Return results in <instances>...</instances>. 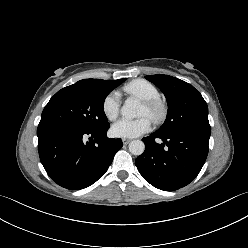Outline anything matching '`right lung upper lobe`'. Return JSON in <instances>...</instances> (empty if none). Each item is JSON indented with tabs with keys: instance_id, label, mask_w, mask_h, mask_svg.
Segmentation results:
<instances>
[{
	"instance_id": "right-lung-upper-lobe-1",
	"label": "right lung upper lobe",
	"mask_w": 248,
	"mask_h": 248,
	"mask_svg": "<svg viewBox=\"0 0 248 248\" xmlns=\"http://www.w3.org/2000/svg\"><path fill=\"white\" fill-rule=\"evenodd\" d=\"M109 81H117V80L84 79V80H80L79 82L87 83V84H91V85H100V84H103V83H106Z\"/></svg>"
}]
</instances>
